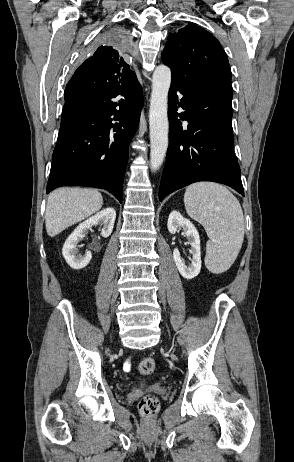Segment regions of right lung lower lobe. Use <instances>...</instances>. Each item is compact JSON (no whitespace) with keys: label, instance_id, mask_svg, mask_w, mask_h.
<instances>
[{"label":"right lung lower lobe","instance_id":"1","mask_svg":"<svg viewBox=\"0 0 294 462\" xmlns=\"http://www.w3.org/2000/svg\"><path fill=\"white\" fill-rule=\"evenodd\" d=\"M118 95L124 97L119 103L113 101ZM141 106L136 76L120 88L65 95L47 193L60 186H90L106 189L122 202L128 146Z\"/></svg>","mask_w":294,"mask_h":462}]
</instances>
